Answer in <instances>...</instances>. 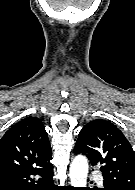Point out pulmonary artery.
Wrapping results in <instances>:
<instances>
[{"label": "pulmonary artery", "instance_id": "e3ab8cb5", "mask_svg": "<svg viewBox=\"0 0 135 190\" xmlns=\"http://www.w3.org/2000/svg\"><path fill=\"white\" fill-rule=\"evenodd\" d=\"M94 176H95L96 180H97L100 184H102V182H103L102 177H101L100 175L96 174V173H94Z\"/></svg>", "mask_w": 135, "mask_h": 190}]
</instances>
